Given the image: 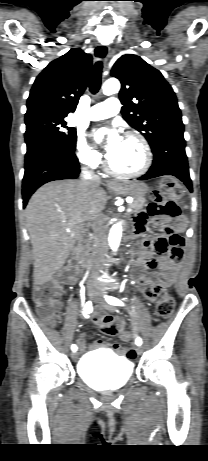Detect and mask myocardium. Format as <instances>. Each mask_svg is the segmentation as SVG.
Segmentation results:
<instances>
[{"mask_svg": "<svg viewBox=\"0 0 208 461\" xmlns=\"http://www.w3.org/2000/svg\"><path fill=\"white\" fill-rule=\"evenodd\" d=\"M124 137H132V138H135L137 139L141 146H142V149H143V152H144V163L142 165V167L140 169H138L137 171H134V172H122V171H119L117 169H115L113 167V165L111 164L110 162V159H109V156L107 157L106 159V168L108 170L109 173L117 176V177H121V178H136V177H140L142 176L143 174H145L149 168L151 167V164H152V151H151V147L147 141V139L139 132L137 131H127L124 133Z\"/></svg>", "mask_w": 208, "mask_h": 461, "instance_id": "myocardium-1", "label": "myocardium"}]
</instances>
